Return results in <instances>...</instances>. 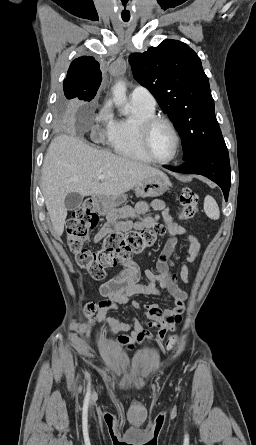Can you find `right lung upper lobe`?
<instances>
[{"label": "right lung upper lobe", "mask_w": 256, "mask_h": 445, "mask_svg": "<svg viewBox=\"0 0 256 445\" xmlns=\"http://www.w3.org/2000/svg\"><path fill=\"white\" fill-rule=\"evenodd\" d=\"M99 63L91 56L75 59L68 69L63 87L67 98L91 101L101 84Z\"/></svg>", "instance_id": "right-lung-upper-lobe-1"}]
</instances>
